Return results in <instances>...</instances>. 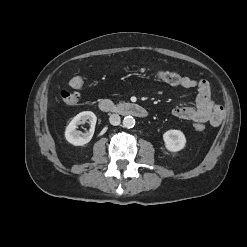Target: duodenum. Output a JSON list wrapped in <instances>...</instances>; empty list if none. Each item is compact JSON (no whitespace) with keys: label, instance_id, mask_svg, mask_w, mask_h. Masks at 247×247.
<instances>
[{"label":"duodenum","instance_id":"obj_1","mask_svg":"<svg viewBox=\"0 0 247 247\" xmlns=\"http://www.w3.org/2000/svg\"><path fill=\"white\" fill-rule=\"evenodd\" d=\"M98 107L105 113H117L124 116H134L138 118H145L148 115L147 110L136 103H115L110 99H101Z\"/></svg>","mask_w":247,"mask_h":247}]
</instances>
